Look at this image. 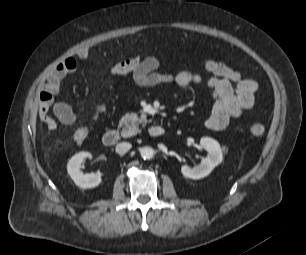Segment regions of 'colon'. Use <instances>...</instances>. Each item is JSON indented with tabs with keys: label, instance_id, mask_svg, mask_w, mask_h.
Instances as JSON below:
<instances>
[{
	"label": "colon",
	"instance_id": "colon-1",
	"mask_svg": "<svg viewBox=\"0 0 306 255\" xmlns=\"http://www.w3.org/2000/svg\"><path fill=\"white\" fill-rule=\"evenodd\" d=\"M143 57L135 56L131 58L121 59L115 62L111 67V72L115 75H126L132 73L143 61ZM104 105H99L96 107L93 114V118L97 119L99 115L103 112ZM265 128L262 124L256 123L250 126L249 132L254 137H259L264 134ZM90 134V128L88 126L81 127L77 129L73 135L74 142L81 145L85 142Z\"/></svg>",
	"mask_w": 306,
	"mask_h": 255
}]
</instances>
